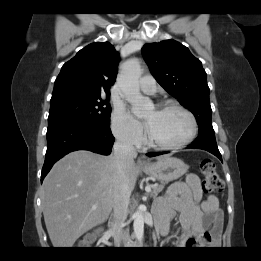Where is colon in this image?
I'll return each mask as SVG.
<instances>
[{"mask_svg":"<svg viewBox=\"0 0 261 261\" xmlns=\"http://www.w3.org/2000/svg\"><path fill=\"white\" fill-rule=\"evenodd\" d=\"M201 171L203 175L202 189L205 193L223 191V181L219 177L214 162L211 159L206 158L201 162ZM207 239L206 237L192 239L190 240L189 245H204Z\"/></svg>","mask_w":261,"mask_h":261,"instance_id":"1","label":"colon"}]
</instances>
